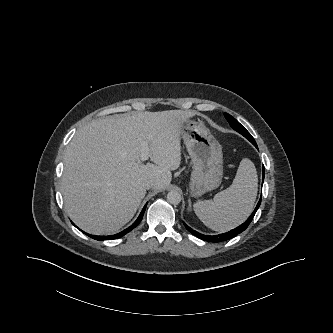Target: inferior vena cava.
Returning a JSON list of instances; mask_svg holds the SVG:
<instances>
[{"label": "inferior vena cava", "instance_id": "inferior-vena-cava-1", "mask_svg": "<svg viewBox=\"0 0 333 333\" xmlns=\"http://www.w3.org/2000/svg\"><path fill=\"white\" fill-rule=\"evenodd\" d=\"M146 189L154 188L155 187V182L153 180H149L145 183Z\"/></svg>", "mask_w": 333, "mask_h": 333}]
</instances>
